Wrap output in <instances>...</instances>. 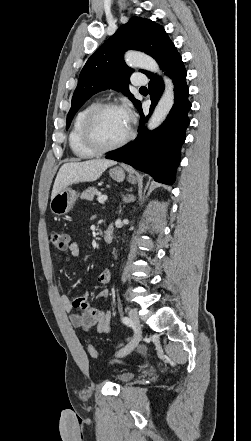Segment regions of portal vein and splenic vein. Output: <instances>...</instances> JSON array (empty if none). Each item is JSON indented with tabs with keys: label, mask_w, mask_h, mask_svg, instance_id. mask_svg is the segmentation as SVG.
I'll use <instances>...</instances> for the list:
<instances>
[{
	"label": "portal vein and splenic vein",
	"mask_w": 251,
	"mask_h": 441,
	"mask_svg": "<svg viewBox=\"0 0 251 441\" xmlns=\"http://www.w3.org/2000/svg\"><path fill=\"white\" fill-rule=\"evenodd\" d=\"M97 200L99 203H104L107 200V196L99 195Z\"/></svg>",
	"instance_id": "1"
}]
</instances>
